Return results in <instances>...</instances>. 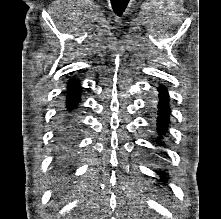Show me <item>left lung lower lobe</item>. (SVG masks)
<instances>
[{
	"instance_id": "1",
	"label": "left lung lower lobe",
	"mask_w": 221,
	"mask_h": 219,
	"mask_svg": "<svg viewBox=\"0 0 221 219\" xmlns=\"http://www.w3.org/2000/svg\"><path fill=\"white\" fill-rule=\"evenodd\" d=\"M159 93V103H158V131L160 134H165L167 132V126L169 122L170 108L168 104V92L164 86L158 88ZM162 180H165V176L160 174Z\"/></svg>"
}]
</instances>
